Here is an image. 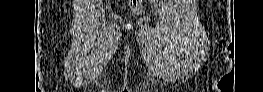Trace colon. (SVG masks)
Masks as SVG:
<instances>
[{
    "mask_svg": "<svg viewBox=\"0 0 263 92\" xmlns=\"http://www.w3.org/2000/svg\"><path fill=\"white\" fill-rule=\"evenodd\" d=\"M129 5L134 13H139L142 11V1L141 0H130Z\"/></svg>",
    "mask_w": 263,
    "mask_h": 92,
    "instance_id": "colon-1",
    "label": "colon"
}]
</instances>
